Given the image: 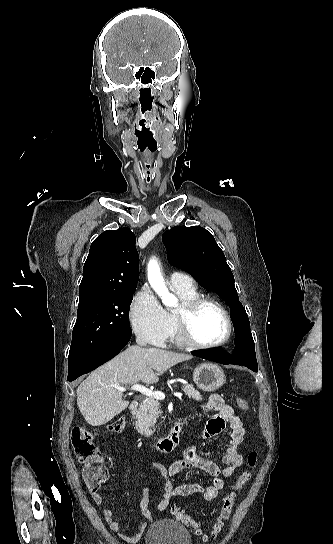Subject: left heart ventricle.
<instances>
[{
	"label": "left heart ventricle",
	"instance_id": "left-heart-ventricle-1",
	"mask_svg": "<svg viewBox=\"0 0 333 544\" xmlns=\"http://www.w3.org/2000/svg\"><path fill=\"white\" fill-rule=\"evenodd\" d=\"M193 334L201 343H215L222 340L227 333V324L221 310L213 305H204L192 323Z\"/></svg>",
	"mask_w": 333,
	"mask_h": 544
}]
</instances>
